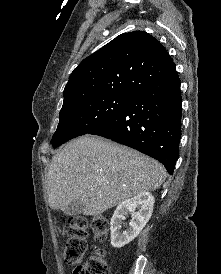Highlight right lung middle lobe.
Instances as JSON below:
<instances>
[{
  "instance_id": "obj_1",
  "label": "right lung middle lobe",
  "mask_w": 221,
  "mask_h": 274,
  "mask_svg": "<svg viewBox=\"0 0 221 274\" xmlns=\"http://www.w3.org/2000/svg\"><path fill=\"white\" fill-rule=\"evenodd\" d=\"M128 95H102L63 103L60 121L52 137L58 147L75 137L89 134L109 121L130 99Z\"/></svg>"
}]
</instances>
